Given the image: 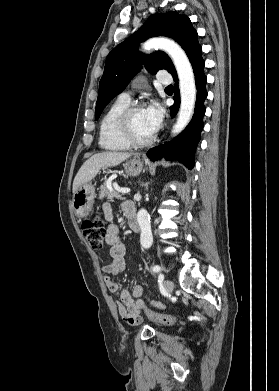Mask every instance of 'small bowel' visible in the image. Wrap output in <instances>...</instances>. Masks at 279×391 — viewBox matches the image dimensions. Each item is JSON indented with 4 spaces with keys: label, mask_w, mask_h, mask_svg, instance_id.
<instances>
[{
    "label": "small bowel",
    "mask_w": 279,
    "mask_h": 391,
    "mask_svg": "<svg viewBox=\"0 0 279 391\" xmlns=\"http://www.w3.org/2000/svg\"><path fill=\"white\" fill-rule=\"evenodd\" d=\"M131 203L126 202L122 205L125 208ZM103 213L107 222L106 243L108 245V256L110 261L102 267L106 276L104 281L108 289L117 293L120 290L118 283L113 279V276L123 272L126 267L125 253L126 249L119 237V228L113 219V208L109 203H105L102 207ZM145 300H148L153 306L162 308V304L149 299L141 286L136 285L132 292L122 290L120 299L117 301V309L120 316L130 325H138L142 321L141 310L145 305Z\"/></svg>",
    "instance_id": "small-bowel-1"
}]
</instances>
